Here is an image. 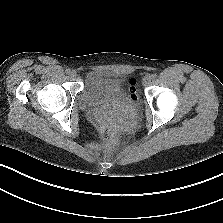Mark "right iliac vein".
I'll return each instance as SVG.
<instances>
[{
  "mask_svg": "<svg viewBox=\"0 0 223 223\" xmlns=\"http://www.w3.org/2000/svg\"><path fill=\"white\" fill-rule=\"evenodd\" d=\"M76 75H77V73H76L75 70H72V71L70 72V76H71V77H76Z\"/></svg>",
  "mask_w": 223,
  "mask_h": 223,
  "instance_id": "1",
  "label": "right iliac vein"
}]
</instances>
